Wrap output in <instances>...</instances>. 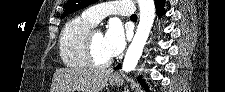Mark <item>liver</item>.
Instances as JSON below:
<instances>
[{
  "label": "liver",
  "instance_id": "obj_1",
  "mask_svg": "<svg viewBox=\"0 0 225 92\" xmlns=\"http://www.w3.org/2000/svg\"><path fill=\"white\" fill-rule=\"evenodd\" d=\"M109 75L105 69L59 68L53 75L51 92H100Z\"/></svg>",
  "mask_w": 225,
  "mask_h": 92
}]
</instances>
